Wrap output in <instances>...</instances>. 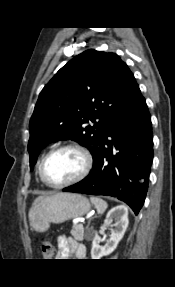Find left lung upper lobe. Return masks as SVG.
Returning <instances> with one entry per match:
<instances>
[{"mask_svg": "<svg viewBox=\"0 0 175 287\" xmlns=\"http://www.w3.org/2000/svg\"><path fill=\"white\" fill-rule=\"evenodd\" d=\"M134 75L118 55L87 50L62 67L45 85L30 120V168L41 149L71 139L93 158L108 126L132 103Z\"/></svg>", "mask_w": 175, "mask_h": 287, "instance_id": "1", "label": "left lung upper lobe"}]
</instances>
